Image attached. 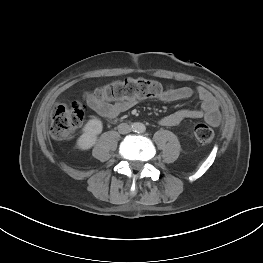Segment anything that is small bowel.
I'll use <instances>...</instances> for the list:
<instances>
[{
	"mask_svg": "<svg viewBox=\"0 0 263 263\" xmlns=\"http://www.w3.org/2000/svg\"><path fill=\"white\" fill-rule=\"evenodd\" d=\"M197 94L201 107L200 109H181L168 114L159 120V124L165 127L176 126L185 119H204L212 126H218L220 123V112L215 97L204 87L192 88L184 86L167 90L160 96L162 101L172 102L188 99ZM87 103L100 116L107 119H114L122 112L128 110L135 104V100H123L116 103H110L108 100L90 93L86 97Z\"/></svg>",
	"mask_w": 263,
	"mask_h": 263,
	"instance_id": "small-bowel-1",
	"label": "small bowel"
}]
</instances>
